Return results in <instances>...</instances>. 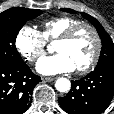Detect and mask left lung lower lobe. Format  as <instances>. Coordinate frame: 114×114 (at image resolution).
Wrapping results in <instances>:
<instances>
[{
  "instance_id": "obj_1",
  "label": "left lung lower lobe",
  "mask_w": 114,
  "mask_h": 114,
  "mask_svg": "<svg viewBox=\"0 0 114 114\" xmlns=\"http://www.w3.org/2000/svg\"><path fill=\"white\" fill-rule=\"evenodd\" d=\"M70 92L58 99L68 114H100L114 96V66L95 68L84 78L71 81Z\"/></svg>"
}]
</instances>
